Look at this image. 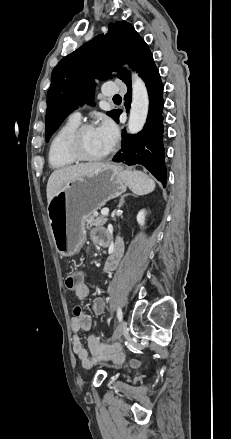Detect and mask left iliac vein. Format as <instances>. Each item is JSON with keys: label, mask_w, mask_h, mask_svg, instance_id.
Listing matches in <instances>:
<instances>
[{"label": "left iliac vein", "mask_w": 231, "mask_h": 439, "mask_svg": "<svg viewBox=\"0 0 231 439\" xmlns=\"http://www.w3.org/2000/svg\"><path fill=\"white\" fill-rule=\"evenodd\" d=\"M127 332L126 322L121 320L117 329V332L114 336V340H119L125 333Z\"/></svg>", "instance_id": "obj_1"}]
</instances>
